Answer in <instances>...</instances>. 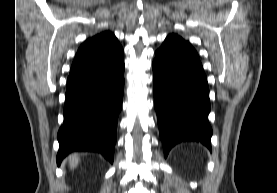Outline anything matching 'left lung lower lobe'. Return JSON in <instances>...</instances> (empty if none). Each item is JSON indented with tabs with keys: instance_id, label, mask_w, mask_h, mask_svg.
I'll return each mask as SVG.
<instances>
[{
	"instance_id": "0a47b994",
	"label": "left lung lower lobe",
	"mask_w": 277,
	"mask_h": 193,
	"mask_svg": "<svg viewBox=\"0 0 277 193\" xmlns=\"http://www.w3.org/2000/svg\"><path fill=\"white\" fill-rule=\"evenodd\" d=\"M153 94L164 155L182 141L211 149L207 78L198 54L178 35H169L155 52Z\"/></svg>"
}]
</instances>
